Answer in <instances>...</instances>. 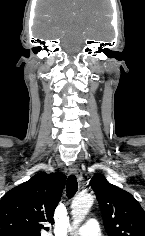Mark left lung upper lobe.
Masks as SVG:
<instances>
[{
	"instance_id": "left-lung-upper-lobe-1",
	"label": "left lung upper lobe",
	"mask_w": 145,
	"mask_h": 236,
	"mask_svg": "<svg viewBox=\"0 0 145 236\" xmlns=\"http://www.w3.org/2000/svg\"><path fill=\"white\" fill-rule=\"evenodd\" d=\"M90 185L109 236H145V212L130 193L110 184L102 174H95Z\"/></svg>"
}]
</instances>
